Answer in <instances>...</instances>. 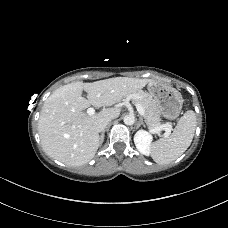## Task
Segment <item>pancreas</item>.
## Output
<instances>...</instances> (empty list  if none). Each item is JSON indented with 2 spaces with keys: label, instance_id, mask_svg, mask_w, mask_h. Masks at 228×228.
I'll return each instance as SVG.
<instances>
[{
  "label": "pancreas",
  "instance_id": "pancreas-1",
  "mask_svg": "<svg viewBox=\"0 0 228 228\" xmlns=\"http://www.w3.org/2000/svg\"><path fill=\"white\" fill-rule=\"evenodd\" d=\"M137 98H133L132 101L134 104H140L144 109V117L146 119L147 126L150 130H154L160 127L161 118L160 115L156 111V106L154 102L146 96L144 93H136ZM169 126L170 123H166ZM159 133V132H158Z\"/></svg>",
  "mask_w": 228,
  "mask_h": 228
}]
</instances>
